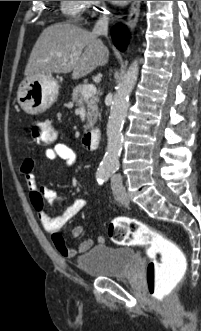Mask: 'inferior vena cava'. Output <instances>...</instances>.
Masks as SVG:
<instances>
[{
    "mask_svg": "<svg viewBox=\"0 0 201 331\" xmlns=\"http://www.w3.org/2000/svg\"><path fill=\"white\" fill-rule=\"evenodd\" d=\"M107 32H108V18L106 16H103L96 22L93 29V34L107 35Z\"/></svg>",
    "mask_w": 201,
    "mask_h": 331,
    "instance_id": "602c4592",
    "label": "inferior vena cava"
}]
</instances>
